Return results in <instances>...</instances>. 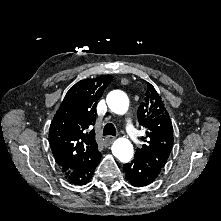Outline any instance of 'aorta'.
Listing matches in <instances>:
<instances>
[{"instance_id":"762f6f07","label":"aorta","mask_w":221,"mask_h":221,"mask_svg":"<svg viewBox=\"0 0 221 221\" xmlns=\"http://www.w3.org/2000/svg\"><path fill=\"white\" fill-rule=\"evenodd\" d=\"M107 105L116 114H125L129 107L127 95L120 90H113L107 95ZM112 153L121 162H129L133 157V145L126 138H118L112 145Z\"/></svg>"}]
</instances>
